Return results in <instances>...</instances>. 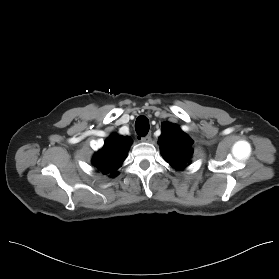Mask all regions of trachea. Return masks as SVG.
<instances>
[{"label": "trachea", "mask_w": 279, "mask_h": 279, "mask_svg": "<svg viewBox=\"0 0 279 279\" xmlns=\"http://www.w3.org/2000/svg\"><path fill=\"white\" fill-rule=\"evenodd\" d=\"M135 129L138 135L145 136L149 131V121L145 116H139L135 122Z\"/></svg>", "instance_id": "obj_1"}]
</instances>
